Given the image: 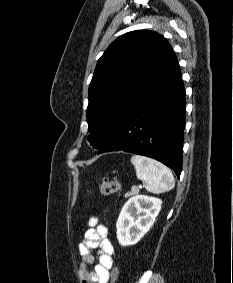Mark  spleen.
Masks as SVG:
<instances>
[{
    "label": "spleen",
    "instance_id": "spleen-1",
    "mask_svg": "<svg viewBox=\"0 0 233 283\" xmlns=\"http://www.w3.org/2000/svg\"><path fill=\"white\" fill-rule=\"evenodd\" d=\"M130 161L136 170L137 178L144 182L149 192L159 194L174 188V176L164 164L141 155H133Z\"/></svg>",
    "mask_w": 233,
    "mask_h": 283
}]
</instances>
